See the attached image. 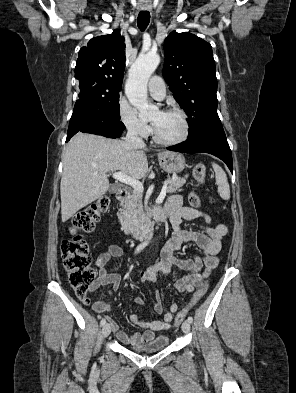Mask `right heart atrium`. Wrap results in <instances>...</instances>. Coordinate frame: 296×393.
I'll return each instance as SVG.
<instances>
[{"instance_id":"1","label":"right heart atrium","mask_w":296,"mask_h":393,"mask_svg":"<svg viewBox=\"0 0 296 393\" xmlns=\"http://www.w3.org/2000/svg\"><path fill=\"white\" fill-rule=\"evenodd\" d=\"M118 115L121 122L132 135L139 138H146L151 128L147 121L143 120L136 110L124 100L118 104Z\"/></svg>"}]
</instances>
